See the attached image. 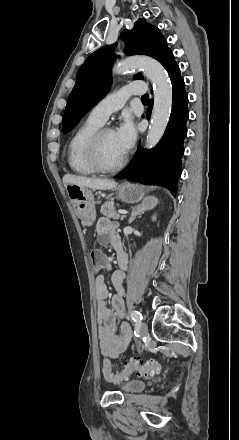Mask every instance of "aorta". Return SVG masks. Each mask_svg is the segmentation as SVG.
Wrapping results in <instances>:
<instances>
[{
  "label": "aorta",
  "instance_id": "obj_1",
  "mask_svg": "<svg viewBox=\"0 0 239 440\" xmlns=\"http://www.w3.org/2000/svg\"><path fill=\"white\" fill-rule=\"evenodd\" d=\"M133 68H143L145 76L155 84L154 90V108L152 112V120L149 132L146 138V148H154L161 140L172 108V86L169 84L165 70L157 60L147 58V56H132L128 60L121 62L119 66H115L114 74H125Z\"/></svg>",
  "mask_w": 239,
  "mask_h": 440
}]
</instances>
